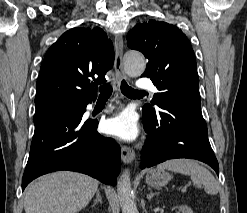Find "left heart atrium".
<instances>
[{
	"label": "left heart atrium",
	"instance_id": "left-heart-atrium-1",
	"mask_svg": "<svg viewBox=\"0 0 247 213\" xmlns=\"http://www.w3.org/2000/svg\"><path fill=\"white\" fill-rule=\"evenodd\" d=\"M103 130L116 138L131 141L138 134V127L131 113H121L103 123Z\"/></svg>",
	"mask_w": 247,
	"mask_h": 213
}]
</instances>
